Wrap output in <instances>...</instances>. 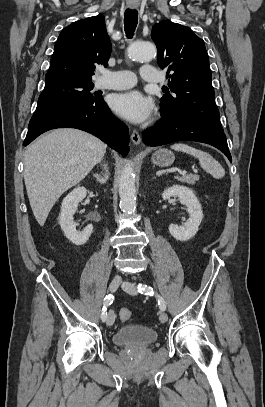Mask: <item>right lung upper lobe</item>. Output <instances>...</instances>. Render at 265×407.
<instances>
[{
	"mask_svg": "<svg viewBox=\"0 0 265 407\" xmlns=\"http://www.w3.org/2000/svg\"><path fill=\"white\" fill-rule=\"evenodd\" d=\"M110 54L103 15L76 21L61 31L45 80L92 81L95 64L107 66Z\"/></svg>",
	"mask_w": 265,
	"mask_h": 407,
	"instance_id": "right-lung-upper-lobe-1",
	"label": "right lung upper lobe"
}]
</instances>
